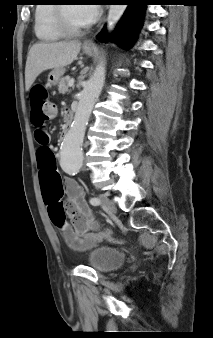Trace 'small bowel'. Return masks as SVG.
<instances>
[{"mask_svg":"<svg viewBox=\"0 0 213 338\" xmlns=\"http://www.w3.org/2000/svg\"><path fill=\"white\" fill-rule=\"evenodd\" d=\"M39 181L42 189L44 203L49 212L53 204L57 203L60 189L64 188L68 197L65 211L71 218V223L62 222L60 230L66 244L74 250H85L104 239L99 225L85 202L82 187L74 180H61L55 159L47 154L39 158Z\"/></svg>","mask_w":213,"mask_h":338,"instance_id":"c3829d8e","label":"small bowel"}]
</instances>
